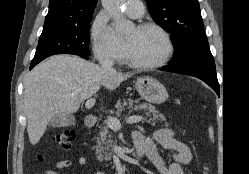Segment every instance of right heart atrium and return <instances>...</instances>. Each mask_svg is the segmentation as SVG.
Masks as SVG:
<instances>
[{
    "instance_id": "right-heart-atrium-1",
    "label": "right heart atrium",
    "mask_w": 249,
    "mask_h": 174,
    "mask_svg": "<svg viewBox=\"0 0 249 174\" xmlns=\"http://www.w3.org/2000/svg\"><path fill=\"white\" fill-rule=\"evenodd\" d=\"M106 22L98 18L92 26L93 50L96 59L102 63H111L115 59L114 51L108 42Z\"/></svg>"
}]
</instances>
